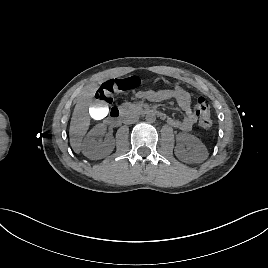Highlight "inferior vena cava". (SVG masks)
<instances>
[{"instance_id":"602c4592","label":"inferior vena cava","mask_w":268,"mask_h":268,"mask_svg":"<svg viewBox=\"0 0 268 268\" xmlns=\"http://www.w3.org/2000/svg\"><path fill=\"white\" fill-rule=\"evenodd\" d=\"M138 119H139L138 114H136L134 112H128L124 115L123 122L125 124H133V123L137 122Z\"/></svg>"}]
</instances>
